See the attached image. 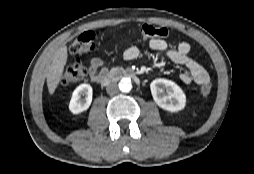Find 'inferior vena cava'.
Listing matches in <instances>:
<instances>
[{"mask_svg":"<svg viewBox=\"0 0 254 174\" xmlns=\"http://www.w3.org/2000/svg\"><path fill=\"white\" fill-rule=\"evenodd\" d=\"M106 91L109 95H115L118 93V86L116 83H111L107 86Z\"/></svg>","mask_w":254,"mask_h":174,"instance_id":"inferior-vena-cava-1","label":"inferior vena cava"}]
</instances>
